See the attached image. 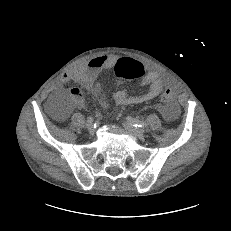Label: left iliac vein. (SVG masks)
Wrapping results in <instances>:
<instances>
[{"instance_id": "left-iliac-vein-1", "label": "left iliac vein", "mask_w": 231, "mask_h": 231, "mask_svg": "<svg viewBox=\"0 0 231 231\" xmlns=\"http://www.w3.org/2000/svg\"><path fill=\"white\" fill-rule=\"evenodd\" d=\"M123 126L135 138L143 139L144 134H143L142 130L135 128L126 122L123 123Z\"/></svg>"}]
</instances>
